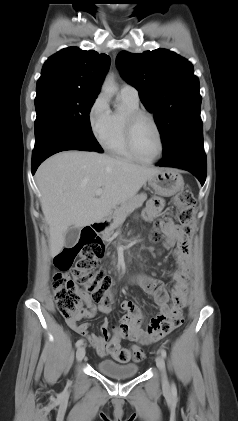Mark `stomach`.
<instances>
[{
	"label": "stomach",
	"mask_w": 238,
	"mask_h": 421,
	"mask_svg": "<svg viewBox=\"0 0 238 421\" xmlns=\"http://www.w3.org/2000/svg\"><path fill=\"white\" fill-rule=\"evenodd\" d=\"M148 185L156 194L168 197L183 189L184 180L177 170L164 168L149 178Z\"/></svg>",
	"instance_id": "obj_1"
}]
</instances>
